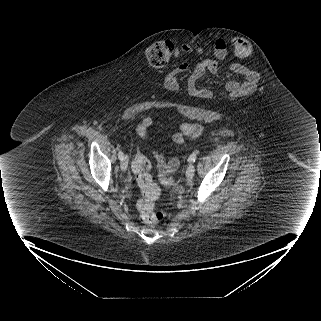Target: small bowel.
<instances>
[{"instance_id":"1","label":"small bowel","mask_w":321,"mask_h":321,"mask_svg":"<svg viewBox=\"0 0 321 321\" xmlns=\"http://www.w3.org/2000/svg\"><path fill=\"white\" fill-rule=\"evenodd\" d=\"M227 57L226 43L222 39H217L214 43V58L204 60L194 67H190L188 63H183L175 70L167 74L165 81L168 87L172 89H177L179 86L180 76L188 73L187 85L189 89L187 91L188 95L192 99L201 100L204 97L212 99L215 95L220 96L221 94H229L232 97L243 98L249 93L254 92L260 86L261 74L255 69H251L250 66L245 65L239 61H234L230 65V70L237 76L246 78L237 84L235 82H229L226 84L225 89L217 88L216 93L214 90H201L196 92L195 84L197 80L203 76L205 73H216L219 69V65ZM153 126V119L150 116L143 118L141 123L136 128L137 136L146 140L148 134ZM205 128L201 125H195L190 123H182L179 130L173 134L172 140L175 144L185 145L189 139L195 138L203 134ZM153 157L158 165L159 173L162 177L175 172L180 165L177 158L166 160L164 155L160 152H154Z\"/></svg>"}]
</instances>
